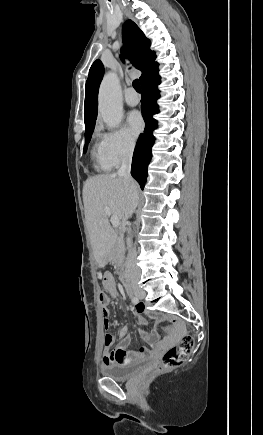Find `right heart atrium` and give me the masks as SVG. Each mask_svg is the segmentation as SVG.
<instances>
[{
	"instance_id": "right-heart-atrium-1",
	"label": "right heart atrium",
	"mask_w": 263,
	"mask_h": 435,
	"mask_svg": "<svg viewBox=\"0 0 263 435\" xmlns=\"http://www.w3.org/2000/svg\"><path fill=\"white\" fill-rule=\"evenodd\" d=\"M100 138L105 154L113 166L130 158L135 150V139L123 127L104 131Z\"/></svg>"
}]
</instances>
